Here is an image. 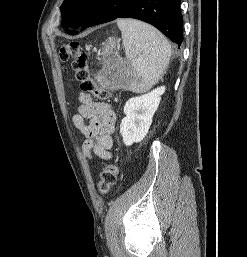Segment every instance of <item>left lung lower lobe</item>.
I'll list each match as a JSON object with an SVG mask.
<instances>
[{"instance_id": "obj_1", "label": "left lung lower lobe", "mask_w": 247, "mask_h": 257, "mask_svg": "<svg viewBox=\"0 0 247 257\" xmlns=\"http://www.w3.org/2000/svg\"><path fill=\"white\" fill-rule=\"evenodd\" d=\"M180 3L181 0H100L85 19L81 31L117 18H134L155 26L180 47L183 41ZM76 34L78 32L70 35Z\"/></svg>"}]
</instances>
